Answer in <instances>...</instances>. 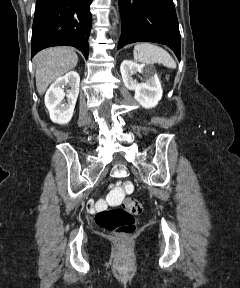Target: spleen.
I'll return each mask as SVG.
<instances>
[{"mask_svg": "<svg viewBox=\"0 0 240 288\" xmlns=\"http://www.w3.org/2000/svg\"><path fill=\"white\" fill-rule=\"evenodd\" d=\"M133 53L134 59L138 62L146 64L159 63L168 68H176V63L170 54L157 45L140 43L135 45Z\"/></svg>", "mask_w": 240, "mask_h": 288, "instance_id": "1", "label": "spleen"}]
</instances>
